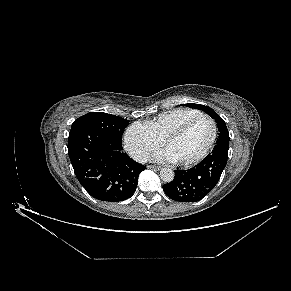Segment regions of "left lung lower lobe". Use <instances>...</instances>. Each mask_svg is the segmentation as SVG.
<instances>
[{
    "instance_id": "left-lung-lower-lobe-1",
    "label": "left lung lower lobe",
    "mask_w": 291,
    "mask_h": 291,
    "mask_svg": "<svg viewBox=\"0 0 291 291\" xmlns=\"http://www.w3.org/2000/svg\"><path fill=\"white\" fill-rule=\"evenodd\" d=\"M229 141L217 140L208 156L189 170H176L173 181L163 185L165 194L178 202H197L218 183L226 166Z\"/></svg>"
}]
</instances>
